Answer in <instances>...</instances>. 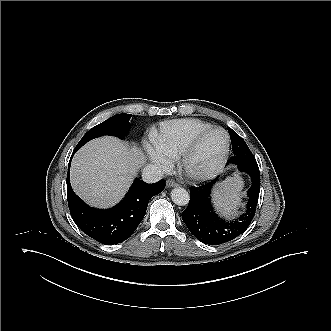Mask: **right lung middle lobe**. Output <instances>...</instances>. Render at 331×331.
Segmentation results:
<instances>
[{
    "label": "right lung middle lobe",
    "instance_id": "obj_1",
    "mask_svg": "<svg viewBox=\"0 0 331 331\" xmlns=\"http://www.w3.org/2000/svg\"><path fill=\"white\" fill-rule=\"evenodd\" d=\"M131 116V114H117L112 116L90 129L76 147L80 148L89 140L103 135H113L119 138L124 137L130 129L129 119Z\"/></svg>",
    "mask_w": 331,
    "mask_h": 331
}]
</instances>
